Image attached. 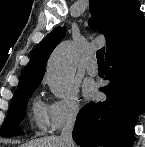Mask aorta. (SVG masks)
<instances>
[{
    "label": "aorta",
    "instance_id": "762f6f07",
    "mask_svg": "<svg viewBox=\"0 0 145 147\" xmlns=\"http://www.w3.org/2000/svg\"><path fill=\"white\" fill-rule=\"evenodd\" d=\"M78 58L73 42H63L52 52L47 65V82L53 92L63 93L71 83Z\"/></svg>",
    "mask_w": 145,
    "mask_h": 147
}]
</instances>
